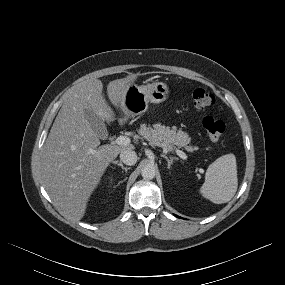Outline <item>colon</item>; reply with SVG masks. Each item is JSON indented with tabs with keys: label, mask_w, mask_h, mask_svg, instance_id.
<instances>
[{
	"label": "colon",
	"mask_w": 285,
	"mask_h": 285,
	"mask_svg": "<svg viewBox=\"0 0 285 285\" xmlns=\"http://www.w3.org/2000/svg\"><path fill=\"white\" fill-rule=\"evenodd\" d=\"M192 103L196 110L201 111L214 105L215 98L210 92L197 88L192 93ZM202 124L209 140L212 143L218 142L225 131L224 122L208 115L203 118Z\"/></svg>",
	"instance_id": "1"
}]
</instances>
